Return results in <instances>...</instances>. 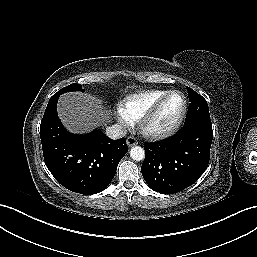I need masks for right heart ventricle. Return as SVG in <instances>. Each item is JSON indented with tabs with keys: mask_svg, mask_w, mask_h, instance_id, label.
<instances>
[{
	"mask_svg": "<svg viewBox=\"0 0 257 257\" xmlns=\"http://www.w3.org/2000/svg\"><path fill=\"white\" fill-rule=\"evenodd\" d=\"M169 90H147L131 94L120 103V111L131 122L139 121Z\"/></svg>",
	"mask_w": 257,
	"mask_h": 257,
	"instance_id": "e07e8e85",
	"label": "right heart ventricle"
}]
</instances>
